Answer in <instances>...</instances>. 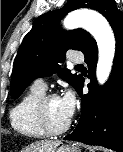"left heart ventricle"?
Returning a JSON list of instances; mask_svg holds the SVG:
<instances>
[{
	"mask_svg": "<svg viewBox=\"0 0 123 152\" xmlns=\"http://www.w3.org/2000/svg\"><path fill=\"white\" fill-rule=\"evenodd\" d=\"M48 115L50 122L55 127H60L69 120L64 111L60 98L53 99L49 102Z\"/></svg>",
	"mask_w": 123,
	"mask_h": 152,
	"instance_id": "b2bd125f",
	"label": "left heart ventricle"
}]
</instances>
